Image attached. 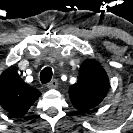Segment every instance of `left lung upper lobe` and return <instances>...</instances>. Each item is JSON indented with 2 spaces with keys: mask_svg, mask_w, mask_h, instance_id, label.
<instances>
[{
  "mask_svg": "<svg viewBox=\"0 0 133 133\" xmlns=\"http://www.w3.org/2000/svg\"><path fill=\"white\" fill-rule=\"evenodd\" d=\"M109 88L108 76L94 59L85 60L79 69L78 81L70 86L69 96L79 111H88L97 106Z\"/></svg>",
  "mask_w": 133,
  "mask_h": 133,
  "instance_id": "left-lung-upper-lobe-1",
  "label": "left lung upper lobe"
}]
</instances>
